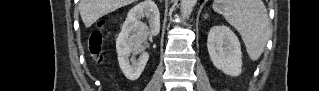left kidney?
I'll return each mask as SVG.
<instances>
[{
	"mask_svg": "<svg viewBox=\"0 0 319 91\" xmlns=\"http://www.w3.org/2000/svg\"><path fill=\"white\" fill-rule=\"evenodd\" d=\"M207 48L216 68L230 76L241 74V45L230 28L225 25L213 26L208 33Z\"/></svg>",
	"mask_w": 319,
	"mask_h": 91,
	"instance_id": "left-kidney-1",
	"label": "left kidney"
}]
</instances>
